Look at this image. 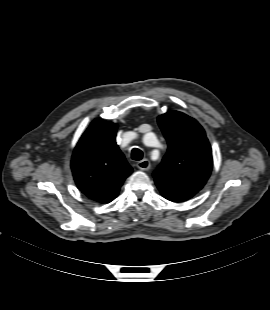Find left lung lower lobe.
Returning <instances> with one entry per match:
<instances>
[{
	"label": "left lung lower lobe",
	"instance_id": "1",
	"mask_svg": "<svg viewBox=\"0 0 270 310\" xmlns=\"http://www.w3.org/2000/svg\"><path fill=\"white\" fill-rule=\"evenodd\" d=\"M161 194L168 200L173 202L186 201L192 198L198 191L179 189L156 183Z\"/></svg>",
	"mask_w": 270,
	"mask_h": 310
}]
</instances>
